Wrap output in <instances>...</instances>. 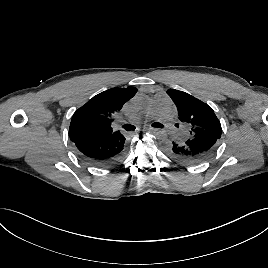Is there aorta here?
Listing matches in <instances>:
<instances>
[{
  "label": "aorta",
  "instance_id": "1",
  "mask_svg": "<svg viewBox=\"0 0 268 268\" xmlns=\"http://www.w3.org/2000/svg\"><path fill=\"white\" fill-rule=\"evenodd\" d=\"M148 102V98L145 97V96H140L138 99H137V104L139 106H145ZM167 135V132L164 128L162 127H159L155 130L154 132V139L157 141V142H162L165 137Z\"/></svg>",
  "mask_w": 268,
  "mask_h": 268
}]
</instances>
